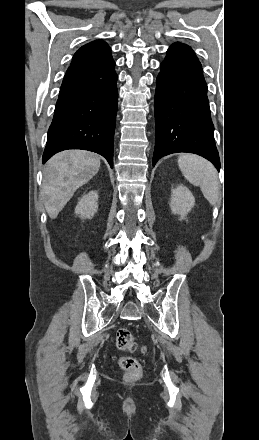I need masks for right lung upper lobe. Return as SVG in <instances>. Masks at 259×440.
<instances>
[{
  "label": "right lung upper lobe",
  "instance_id": "obj_1",
  "mask_svg": "<svg viewBox=\"0 0 259 440\" xmlns=\"http://www.w3.org/2000/svg\"><path fill=\"white\" fill-rule=\"evenodd\" d=\"M111 55L110 47L102 40L92 41L77 50L71 65L89 63Z\"/></svg>",
  "mask_w": 259,
  "mask_h": 440
}]
</instances>
